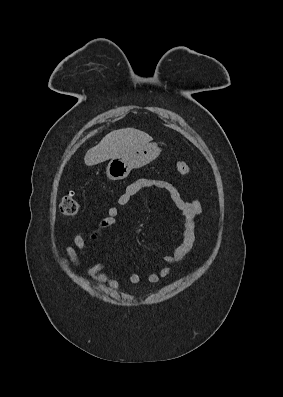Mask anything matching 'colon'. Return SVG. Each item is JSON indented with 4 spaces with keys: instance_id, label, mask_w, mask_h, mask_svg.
Masks as SVG:
<instances>
[{
    "instance_id": "1",
    "label": "colon",
    "mask_w": 283,
    "mask_h": 397,
    "mask_svg": "<svg viewBox=\"0 0 283 397\" xmlns=\"http://www.w3.org/2000/svg\"><path fill=\"white\" fill-rule=\"evenodd\" d=\"M175 166L177 172L181 175L190 173V166L184 161H178ZM59 209L61 214L65 216H75L80 210V204L72 194H69L62 199Z\"/></svg>"
}]
</instances>
